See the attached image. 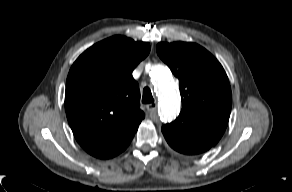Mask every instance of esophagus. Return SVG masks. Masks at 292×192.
<instances>
[{
	"mask_svg": "<svg viewBox=\"0 0 292 192\" xmlns=\"http://www.w3.org/2000/svg\"><path fill=\"white\" fill-rule=\"evenodd\" d=\"M146 108L149 112H152V111L156 110L157 103L156 102L150 103L146 106Z\"/></svg>",
	"mask_w": 292,
	"mask_h": 192,
	"instance_id": "34e87169",
	"label": "esophagus"
}]
</instances>
